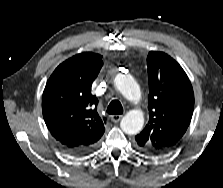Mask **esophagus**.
<instances>
[{
    "instance_id": "esophagus-1",
    "label": "esophagus",
    "mask_w": 223,
    "mask_h": 188,
    "mask_svg": "<svg viewBox=\"0 0 223 188\" xmlns=\"http://www.w3.org/2000/svg\"><path fill=\"white\" fill-rule=\"evenodd\" d=\"M123 115H112L111 120L115 123L119 122L122 119Z\"/></svg>"
}]
</instances>
